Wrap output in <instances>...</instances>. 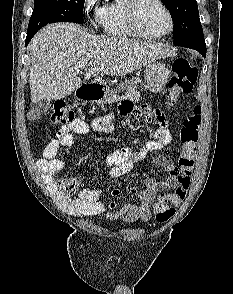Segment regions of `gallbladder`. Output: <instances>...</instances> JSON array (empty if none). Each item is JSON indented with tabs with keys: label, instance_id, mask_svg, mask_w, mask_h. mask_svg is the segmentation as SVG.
Returning <instances> with one entry per match:
<instances>
[{
	"label": "gallbladder",
	"instance_id": "bac80fb5",
	"mask_svg": "<svg viewBox=\"0 0 233 294\" xmlns=\"http://www.w3.org/2000/svg\"><path fill=\"white\" fill-rule=\"evenodd\" d=\"M51 104L50 101L48 100H44V101H40L39 103L35 104L32 107L31 110V116H40L41 114L47 112V110L50 108Z\"/></svg>",
	"mask_w": 233,
	"mask_h": 294
}]
</instances>
